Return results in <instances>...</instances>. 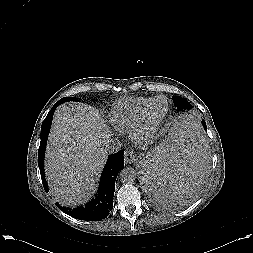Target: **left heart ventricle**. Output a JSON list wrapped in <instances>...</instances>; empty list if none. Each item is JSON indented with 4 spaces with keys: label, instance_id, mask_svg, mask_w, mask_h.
<instances>
[{
    "label": "left heart ventricle",
    "instance_id": "obj_1",
    "mask_svg": "<svg viewBox=\"0 0 253 253\" xmlns=\"http://www.w3.org/2000/svg\"><path fill=\"white\" fill-rule=\"evenodd\" d=\"M167 108V103L165 101V99H157L151 106L150 111H149V118L152 121H156L158 119H160Z\"/></svg>",
    "mask_w": 253,
    "mask_h": 253
}]
</instances>
